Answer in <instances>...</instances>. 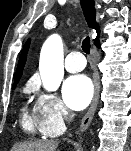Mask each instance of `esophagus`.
Segmentation results:
<instances>
[{
  "label": "esophagus",
  "instance_id": "esophagus-1",
  "mask_svg": "<svg viewBox=\"0 0 131 151\" xmlns=\"http://www.w3.org/2000/svg\"><path fill=\"white\" fill-rule=\"evenodd\" d=\"M93 81H94V96H93L92 103H91L87 113L85 114V116L82 119V122H81V125L79 128L80 133H83L88 129V127L93 119V116L95 114L96 107L98 104L99 92H100V82H99L98 73H94Z\"/></svg>",
  "mask_w": 131,
  "mask_h": 151
}]
</instances>
